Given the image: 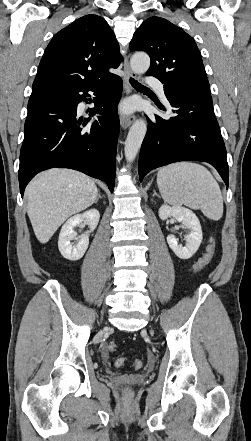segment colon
<instances>
[{
	"instance_id": "1",
	"label": "colon",
	"mask_w": 251,
	"mask_h": 441,
	"mask_svg": "<svg viewBox=\"0 0 251 441\" xmlns=\"http://www.w3.org/2000/svg\"><path fill=\"white\" fill-rule=\"evenodd\" d=\"M215 249H216L215 240L211 239L210 243L206 247L204 254L198 259V261L193 266L194 272H198V271L202 270L206 265H208L210 263V261L212 260L214 254H215ZM107 348L109 351H115L117 348V344L115 342H110L107 345ZM125 362H126V360L124 358H117L114 363H115V366L122 367L125 364ZM142 364H143L142 361L139 359H136L133 361V367L135 369L141 368Z\"/></svg>"
}]
</instances>
